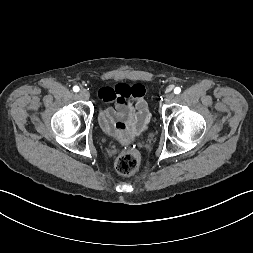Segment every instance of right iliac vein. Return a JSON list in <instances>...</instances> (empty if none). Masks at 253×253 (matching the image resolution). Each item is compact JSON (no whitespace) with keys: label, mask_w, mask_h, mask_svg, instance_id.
Wrapping results in <instances>:
<instances>
[{"label":"right iliac vein","mask_w":253,"mask_h":253,"mask_svg":"<svg viewBox=\"0 0 253 253\" xmlns=\"http://www.w3.org/2000/svg\"><path fill=\"white\" fill-rule=\"evenodd\" d=\"M79 96H80L82 99L87 100V99H89L90 94H89V92H88L86 89H81V90L79 91Z\"/></svg>","instance_id":"right-iliac-vein-1"}]
</instances>
